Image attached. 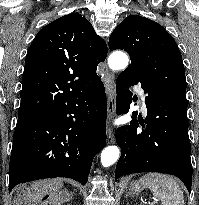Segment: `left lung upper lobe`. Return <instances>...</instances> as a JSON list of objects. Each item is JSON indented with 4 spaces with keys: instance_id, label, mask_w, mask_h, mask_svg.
I'll use <instances>...</instances> for the list:
<instances>
[{
    "instance_id": "left-lung-upper-lobe-1",
    "label": "left lung upper lobe",
    "mask_w": 199,
    "mask_h": 205,
    "mask_svg": "<svg viewBox=\"0 0 199 205\" xmlns=\"http://www.w3.org/2000/svg\"><path fill=\"white\" fill-rule=\"evenodd\" d=\"M110 50H125L141 82L160 95L187 104L182 56L175 40L158 23L130 15L112 32Z\"/></svg>"
}]
</instances>
